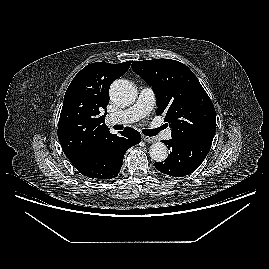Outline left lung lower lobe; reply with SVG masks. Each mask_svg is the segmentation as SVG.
<instances>
[{
	"mask_svg": "<svg viewBox=\"0 0 269 269\" xmlns=\"http://www.w3.org/2000/svg\"><path fill=\"white\" fill-rule=\"evenodd\" d=\"M162 142L171 153L162 162H155V168L173 177H183L195 171L207 156L211 144L207 141L181 142L175 139Z\"/></svg>",
	"mask_w": 269,
	"mask_h": 269,
	"instance_id": "left-lung-lower-lobe-1",
	"label": "left lung lower lobe"
}]
</instances>
